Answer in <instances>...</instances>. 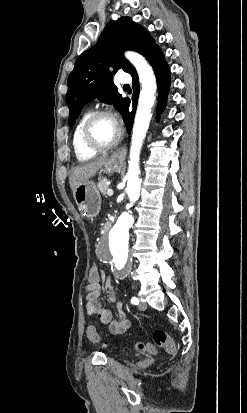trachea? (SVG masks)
I'll return each mask as SVG.
<instances>
[{
    "label": "trachea",
    "instance_id": "3493384b",
    "mask_svg": "<svg viewBox=\"0 0 247 413\" xmlns=\"http://www.w3.org/2000/svg\"><path fill=\"white\" fill-rule=\"evenodd\" d=\"M123 90H130L129 85H123Z\"/></svg>",
    "mask_w": 247,
    "mask_h": 413
}]
</instances>
